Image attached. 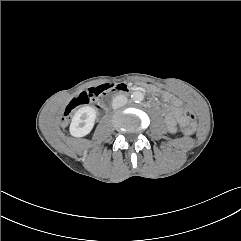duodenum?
<instances>
[{"instance_id": "obj_1", "label": "duodenum", "mask_w": 241, "mask_h": 241, "mask_svg": "<svg viewBox=\"0 0 241 241\" xmlns=\"http://www.w3.org/2000/svg\"><path fill=\"white\" fill-rule=\"evenodd\" d=\"M111 91H114L117 94H124L129 91V88L125 84H118L110 88Z\"/></svg>"}]
</instances>
